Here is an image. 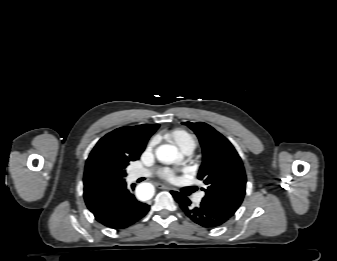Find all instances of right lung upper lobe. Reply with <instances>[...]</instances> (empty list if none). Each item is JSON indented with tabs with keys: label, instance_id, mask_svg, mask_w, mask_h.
<instances>
[{
	"label": "right lung upper lobe",
	"instance_id": "1",
	"mask_svg": "<svg viewBox=\"0 0 337 261\" xmlns=\"http://www.w3.org/2000/svg\"><path fill=\"white\" fill-rule=\"evenodd\" d=\"M159 124L118 128L101 138L91 151L84 172V199L95 211L125 181V168L139 159Z\"/></svg>",
	"mask_w": 337,
	"mask_h": 261
}]
</instances>
